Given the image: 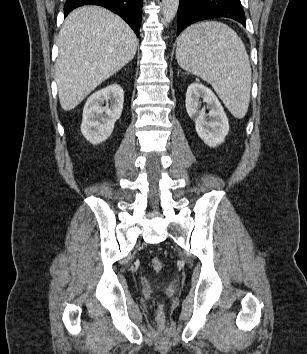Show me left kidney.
<instances>
[{
  "mask_svg": "<svg viewBox=\"0 0 307 354\" xmlns=\"http://www.w3.org/2000/svg\"><path fill=\"white\" fill-rule=\"evenodd\" d=\"M209 109H201V101ZM185 106L189 117L195 121L198 136L210 147H216L224 142L229 132V122L224 109L216 95L199 83H192L186 92Z\"/></svg>",
  "mask_w": 307,
  "mask_h": 354,
  "instance_id": "1",
  "label": "left kidney"
}]
</instances>
